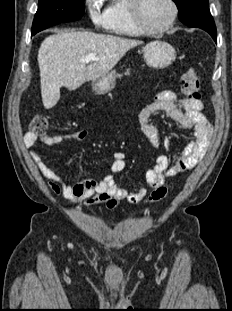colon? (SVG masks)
<instances>
[{"instance_id":"5ec220e1","label":"colon","mask_w":232,"mask_h":311,"mask_svg":"<svg viewBox=\"0 0 232 311\" xmlns=\"http://www.w3.org/2000/svg\"><path fill=\"white\" fill-rule=\"evenodd\" d=\"M182 92L189 100L200 99V78L194 68L189 67L182 76ZM50 128V122L46 115L36 114L29 122V130L39 136H44ZM168 195V189L160 186L155 189L147 199L148 203H157L165 199Z\"/></svg>"}]
</instances>
